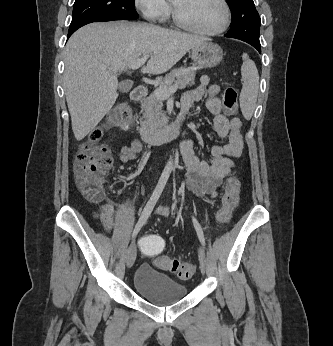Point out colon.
Here are the masks:
<instances>
[{
	"mask_svg": "<svg viewBox=\"0 0 333 346\" xmlns=\"http://www.w3.org/2000/svg\"><path fill=\"white\" fill-rule=\"evenodd\" d=\"M237 90L228 86L223 93V106L227 115H235L238 111ZM110 129L129 131L133 126L132 111L129 103L119 102L106 120ZM99 132L90 135V143L80 146L74 162L75 181L82 196L91 203L103 200L105 175L112 166V155L109 148L99 144ZM241 183L235 176H230L225 184L222 205L216 213L219 224H225L231 219L232 211L239 202ZM162 233H147L139 240V250L142 256H159L154 264L162 269L175 273L181 279H188L196 272L193 263L181 262L177 258L164 256V241Z\"/></svg>",
	"mask_w": 333,
	"mask_h": 346,
	"instance_id": "obj_1",
	"label": "colon"
}]
</instances>
